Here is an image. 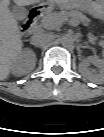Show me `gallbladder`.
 <instances>
[{
    "mask_svg": "<svg viewBox=\"0 0 104 137\" xmlns=\"http://www.w3.org/2000/svg\"><path fill=\"white\" fill-rule=\"evenodd\" d=\"M12 15L17 19H24L27 14V10L24 7L15 6L11 9Z\"/></svg>",
    "mask_w": 104,
    "mask_h": 137,
    "instance_id": "bac80fb5",
    "label": "gallbladder"
}]
</instances>
